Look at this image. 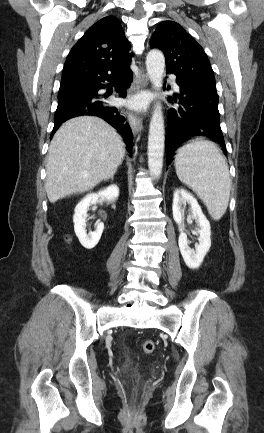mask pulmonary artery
Instances as JSON below:
<instances>
[{"label": "pulmonary artery", "mask_w": 264, "mask_h": 433, "mask_svg": "<svg viewBox=\"0 0 264 433\" xmlns=\"http://www.w3.org/2000/svg\"><path fill=\"white\" fill-rule=\"evenodd\" d=\"M173 86H174L175 89L179 88L178 85L175 82H173Z\"/></svg>", "instance_id": "obj_1"}]
</instances>
